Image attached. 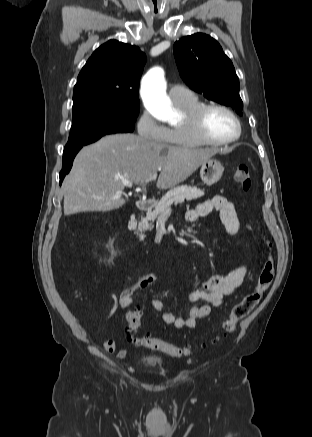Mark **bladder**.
<instances>
[{"label":"bladder","instance_id":"1","mask_svg":"<svg viewBox=\"0 0 312 437\" xmlns=\"http://www.w3.org/2000/svg\"><path fill=\"white\" fill-rule=\"evenodd\" d=\"M141 360L148 365H159L162 362L161 357L151 354L143 355Z\"/></svg>","mask_w":312,"mask_h":437}]
</instances>
